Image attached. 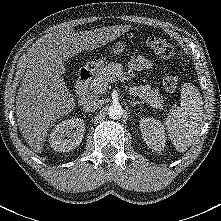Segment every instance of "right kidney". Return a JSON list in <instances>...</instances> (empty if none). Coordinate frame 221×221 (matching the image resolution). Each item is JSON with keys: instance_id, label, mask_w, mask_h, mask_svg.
Returning <instances> with one entry per match:
<instances>
[{"instance_id": "ca27d5eb", "label": "right kidney", "mask_w": 221, "mask_h": 221, "mask_svg": "<svg viewBox=\"0 0 221 221\" xmlns=\"http://www.w3.org/2000/svg\"><path fill=\"white\" fill-rule=\"evenodd\" d=\"M85 124L83 119L72 118L58 123L50 134L51 148L56 152H68L82 141Z\"/></svg>"}]
</instances>
